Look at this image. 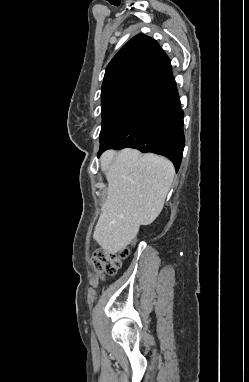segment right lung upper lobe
Returning <instances> with one entry per match:
<instances>
[{"instance_id":"1","label":"right lung upper lobe","mask_w":249,"mask_h":382,"mask_svg":"<svg viewBox=\"0 0 249 382\" xmlns=\"http://www.w3.org/2000/svg\"><path fill=\"white\" fill-rule=\"evenodd\" d=\"M175 85L170 60L155 39L138 34L108 64L102 108L135 99L153 102Z\"/></svg>"}]
</instances>
